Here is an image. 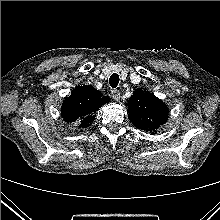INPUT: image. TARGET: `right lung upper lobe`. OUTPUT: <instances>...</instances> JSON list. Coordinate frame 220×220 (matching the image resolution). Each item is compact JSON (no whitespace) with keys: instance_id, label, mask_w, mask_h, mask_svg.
<instances>
[{"instance_id":"1","label":"right lung upper lobe","mask_w":220,"mask_h":220,"mask_svg":"<svg viewBox=\"0 0 220 220\" xmlns=\"http://www.w3.org/2000/svg\"><path fill=\"white\" fill-rule=\"evenodd\" d=\"M109 101V97L103 96L101 91L92 86L78 85L71 91L70 96L65 97L61 115L65 122H77L79 128H86L95 119L99 108Z\"/></svg>"}]
</instances>
